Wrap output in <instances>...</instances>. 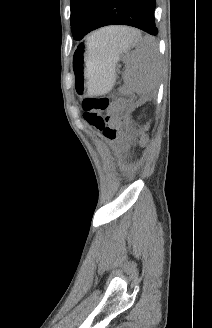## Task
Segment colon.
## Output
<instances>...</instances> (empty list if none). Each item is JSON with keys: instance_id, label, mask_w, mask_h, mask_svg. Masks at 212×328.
<instances>
[{"instance_id": "5ec220e1", "label": "colon", "mask_w": 212, "mask_h": 328, "mask_svg": "<svg viewBox=\"0 0 212 328\" xmlns=\"http://www.w3.org/2000/svg\"><path fill=\"white\" fill-rule=\"evenodd\" d=\"M123 101H112L106 96H90L83 101V117L87 124L99 131L110 142L116 141L123 134V125L116 118V112Z\"/></svg>"}]
</instances>
